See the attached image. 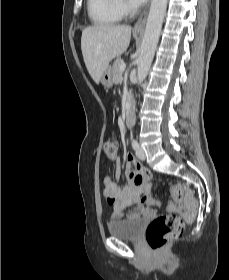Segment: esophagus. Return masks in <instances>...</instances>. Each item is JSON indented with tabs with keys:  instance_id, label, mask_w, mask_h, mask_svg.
I'll list each match as a JSON object with an SVG mask.
<instances>
[{
	"instance_id": "34e87169",
	"label": "esophagus",
	"mask_w": 229,
	"mask_h": 280,
	"mask_svg": "<svg viewBox=\"0 0 229 280\" xmlns=\"http://www.w3.org/2000/svg\"><path fill=\"white\" fill-rule=\"evenodd\" d=\"M149 7H150V2L146 5L145 9L143 10V12L141 13L137 22L135 23L134 30H143L144 29Z\"/></svg>"
}]
</instances>
